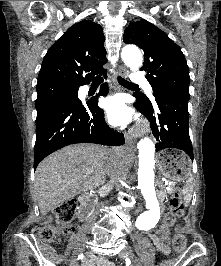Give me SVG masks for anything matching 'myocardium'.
<instances>
[{
	"label": "myocardium",
	"mask_w": 221,
	"mask_h": 266,
	"mask_svg": "<svg viewBox=\"0 0 221 266\" xmlns=\"http://www.w3.org/2000/svg\"><path fill=\"white\" fill-rule=\"evenodd\" d=\"M146 130H147V128H140V129L138 130V134H142V133H144Z\"/></svg>",
	"instance_id": "f54148a6"
}]
</instances>
